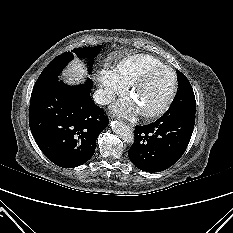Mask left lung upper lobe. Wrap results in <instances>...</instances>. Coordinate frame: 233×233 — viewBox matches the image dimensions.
Here are the masks:
<instances>
[{
  "label": "left lung upper lobe",
  "instance_id": "1",
  "mask_svg": "<svg viewBox=\"0 0 233 233\" xmlns=\"http://www.w3.org/2000/svg\"><path fill=\"white\" fill-rule=\"evenodd\" d=\"M179 90L167 113L195 115L196 103L193 88L187 77L177 71Z\"/></svg>",
  "mask_w": 233,
  "mask_h": 233
}]
</instances>
